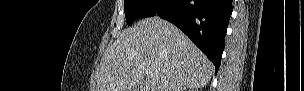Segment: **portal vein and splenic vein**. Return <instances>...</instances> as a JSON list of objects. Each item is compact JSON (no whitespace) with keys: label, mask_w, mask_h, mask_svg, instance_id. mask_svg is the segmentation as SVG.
Returning <instances> with one entry per match:
<instances>
[{"label":"portal vein and splenic vein","mask_w":304,"mask_h":91,"mask_svg":"<svg viewBox=\"0 0 304 91\" xmlns=\"http://www.w3.org/2000/svg\"><path fill=\"white\" fill-rule=\"evenodd\" d=\"M146 74H147V75H152V70H151L150 68H147V69H146Z\"/></svg>","instance_id":"obj_1"}]
</instances>
